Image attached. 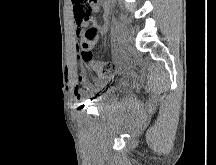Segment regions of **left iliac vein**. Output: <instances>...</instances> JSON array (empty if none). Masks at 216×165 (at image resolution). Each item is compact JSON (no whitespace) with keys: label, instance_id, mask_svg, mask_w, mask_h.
Here are the masks:
<instances>
[{"label":"left iliac vein","instance_id":"left-iliac-vein-1","mask_svg":"<svg viewBox=\"0 0 216 165\" xmlns=\"http://www.w3.org/2000/svg\"><path fill=\"white\" fill-rule=\"evenodd\" d=\"M114 33L118 42L123 46L127 45L131 40L130 28L124 21L118 22Z\"/></svg>","mask_w":216,"mask_h":165}]
</instances>
